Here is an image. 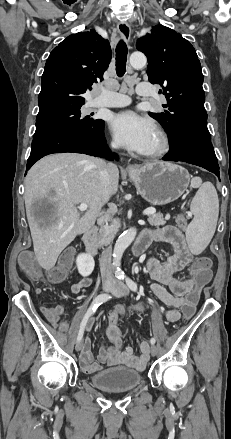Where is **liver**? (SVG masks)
Here are the masks:
<instances>
[{
	"mask_svg": "<svg viewBox=\"0 0 231 439\" xmlns=\"http://www.w3.org/2000/svg\"><path fill=\"white\" fill-rule=\"evenodd\" d=\"M99 159L77 153H57L40 159L28 171L25 179V206L33 240L34 253L39 265L52 269L60 253L78 235L91 229L106 195L99 174ZM108 198L118 189L119 170L116 165L109 168ZM43 200L44 206L51 205L47 213L38 207L36 201ZM86 203L87 211L81 216L77 205Z\"/></svg>",
	"mask_w": 231,
	"mask_h": 439,
	"instance_id": "obj_1",
	"label": "liver"
}]
</instances>
